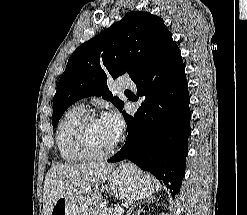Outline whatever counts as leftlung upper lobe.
Returning a JSON list of instances; mask_svg holds the SVG:
<instances>
[{"label":"left lung upper lobe","instance_id":"5c2ea615","mask_svg":"<svg viewBox=\"0 0 247 215\" xmlns=\"http://www.w3.org/2000/svg\"><path fill=\"white\" fill-rule=\"evenodd\" d=\"M172 34L161 18L132 11L97 37L79 46L70 56L53 100L52 125L75 101L102 96L122 109L124 103L108 90L107 79L128 73L135 79L161 53Z\"/></svg>","mask_w":247,"mask_h":215}]
</instances>
